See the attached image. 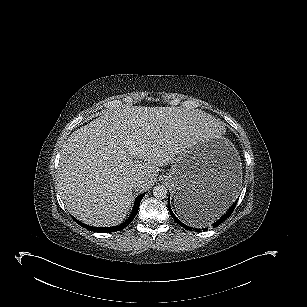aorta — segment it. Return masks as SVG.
<instances>
[{
  "label": "aorta",
  "mask_w": 307,
  "mask_h": 307,
  "mask_svg": "<svg viewBox=\"0 0 307 307\" xmlns=\"http://www.w3.org/2000/svg\"><path fill=\"white\" fill-rule=\"evenodd\" d=\"M167 188L164 185H157L153 188V196L156 199H165L167 197Z\"/></svg>",
  "instance_id": "762f6f07"
}]
</instances>
